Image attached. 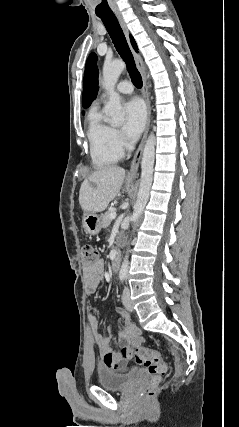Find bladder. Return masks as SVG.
Masks as SVG:
<instances>
[{"mask_svg": "<svg viewBox=\"0 0 239 427\" xmlns=\"http://www.w3.org/2000/svg\"><path fill=\"white\" fill-rule=\"evenodd\" d=\"M139 370L113 371L99 368L97 372L98 384L109 390H126L130 388L139 376Z\"/></svg>", "mask_w": 239, "mask_h": 427, "instance_id": "1", "label": "bladder"}]
</instances>
